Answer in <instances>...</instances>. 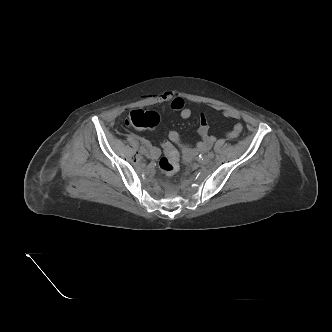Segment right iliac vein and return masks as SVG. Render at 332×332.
Wrapping results in <instances>:
<instances>
[{
	"instance_id": "obj_1",
	"label": "right iliac vein",
	"mask_w": 332,
	"mask_h": 332,
	"mask_svg": "<svg viewBox=\"0 0 332 332\" xmlns=\"http://www.w3.org/2000/svg\"><path fill=\"white\" fill-rule=\"evenodd\" d=\"M139 152H140L141 154H146V148L143 147V146H141V147L139 148Z\"/></svg>"
}]
</instances>
